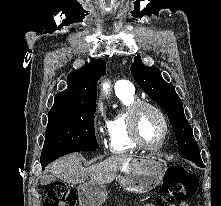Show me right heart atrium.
<instances>
[{"mask_svg": "<svg viewBox=\"0 0 221 206\" xmlns=\"http://www.w3.org/2000/svg\"><path fill=\"white\" fill-rule=\"evenodd\" d=\"M100 113V108H97V114H99Z\"/></svg>", "mask_w": 221, "mask_h": 206, "instance_id": "obj_1", "label": "right heart atrium"}]
</instances>
